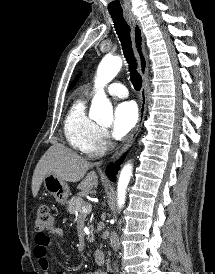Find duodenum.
<instances>
[{
  "mask_svg": "<svg viewBox=\"0 0 215 274\" xmlns=\"http://www.w3.org/2000/svg\"><path fill=\"white\" fill-rule=\"evenodd\" d=\"M94 259L98 265H103L105 263V255L102 249L95 250Z\"/></svg>",
  "mask_w": 215,
  "mask_h": 274,
  "instance_id": "duodenum-1",
  "label": "duodenum"
}]
</instances>
